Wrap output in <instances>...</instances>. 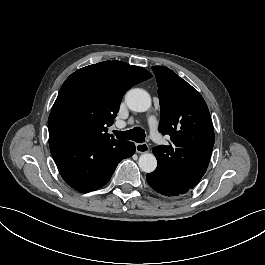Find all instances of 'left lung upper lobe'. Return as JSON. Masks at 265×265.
I'll use <instances>...</instances> for the list:
<instances>
[{
    "label": "left lung upper lobe",
    "mask_w": 265,
    "mask_h": 265,
    "mask_svg": "<svg viewBox=\"0 0 265 265\" xmlns=\"http://www.w3.org/2000/svg\"><path fill=\"white\" fill-rule=\"evenodd\" d=\"M161 120L159 131L170 135L171 145L152 149L158 168L194 188L205 174L214 146V128L200 95L172 70L154 66Z\"/></svg>",
    "instance_id": "5c2ea615"
}]
</instances>
